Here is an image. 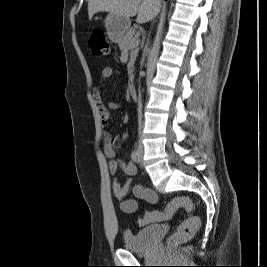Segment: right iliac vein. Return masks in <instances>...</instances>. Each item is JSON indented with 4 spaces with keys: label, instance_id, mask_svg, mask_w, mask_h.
<instances>
[{
    "label": "right iliac vein",
    "instance_id": "right-iliac-vein-1",
    "mask_svg": "<svg viewBox=\"0 0 267 267\" xmlns=\"http://www.w3.org/2000/svg\"><path fill=\"white\" fill-rule=\"evenodd\" d=\"M138 155H142V150L141 149H138Z\"/></svg>",
    "mask_w": 267,
    "mask_h": 267
}]
</instances>
